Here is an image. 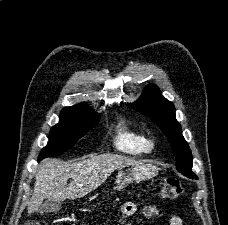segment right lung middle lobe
I'll use <instances>...</instances> for the list:
<instances>
[{"label":"right lung middle lobe","instance_id":"obj_1","mask_svg":"<svg viewBox=\"0 0 228 225\" xmlns=\"http://www.w3.org/2000/svg\"><path fill=\"white\" fill-rule=\"evenodd\" d=\"M100 114L88 107H66L60 113L59 123L50 132L48 146L43 148L38 159L59 155L98 124Z\"/></svg>","mask_w":228,"mask_h":225}]
</instances>
